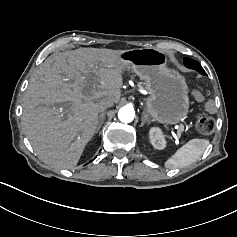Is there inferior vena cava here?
<instances>
[{"label": "inferior vena cava", "mask_w": 237, "mask_h": 237, "mask_svg": "<svg viewBox=\"0 0 237 237\" xmlns=\"http://www.w3.org/2000/svg\"><path fill=\"white\" fill-rule=\"evenodd\" d=\"M113 104H114V102L111 99H102L101 102H100V106L103 110L105 108L112 107Z\"/></svg>", "instance_id": "602c4592"}]
</instances>
